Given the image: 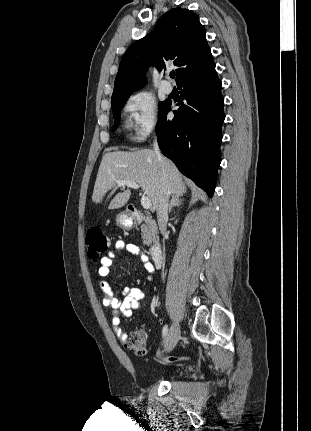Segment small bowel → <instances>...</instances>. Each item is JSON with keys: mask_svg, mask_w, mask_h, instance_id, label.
<instances>
[{"mask_svg": "<svg viewBox=\"0 0 311 431\" xmlns=\"http://www.w3.org/2000/svg\"><path fill=\"white\" fill-rule=\"evenodd\" d=\"M115 249L117 251H127L133 255H139L144 269L149 273L154 271L153 265L150 263L147 256L140 253V249L137 245L119 240L115 243ZM115 258V252H110L107 256L101 258L98 273L102 278H107L109 276ZM100 288L104 297V306L113 310L112 324L115 333L124 343L127 336L120 328V317L121 315L130 317L134 311L139 310L141 302L145 299L146 294L139 288L125 287L121 290L120 295L116 296L107 281H102L100 283Z\"/></svg>", "mask_w": 311, "mask_h": 431, "instance_id": "1", "label": "small bowel"}]
</instances>
